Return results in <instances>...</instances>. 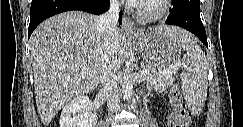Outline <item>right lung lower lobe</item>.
Instances as JSON below:
<instances>
[{"label":"right lung lower lobe","instance_id":"98d812e1","mask_svg":"<svg viewBox=\"0 0 243 127\" xmlns=\"http://www.w3.org/2000/svg\"><path fill=\"white\" fill-rule=\"evenodd\" d=\"M109 0H33L30 11V24L28 28V38L34 29L45 19L72 10L86 11L99 15L107 10ZM122 22L121 13L119 24Z\"/></svg>","mask_w":243,"mask_h":127}]
</instances>
